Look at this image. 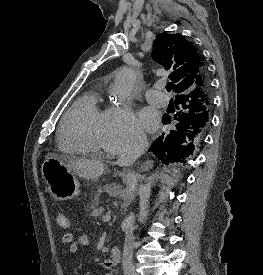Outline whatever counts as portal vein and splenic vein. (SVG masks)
<instances>
[{
  "label": "portal vein and splenic vein",
  "instance_id": "obj_1",
  "mask_svg": "<svg viewBox=\"0 0 263 275\" xmlns=\"http://www.w3.org/2000/svg\"><path fill=\"white\" fill-rule=\"evenodd\" d=\"M102 220H103L104 222H109V221L111 220L110 214H106L105 216H103Z\"/></svg>",
  "mask_w": 263,
  "mask_h": 275
}]
</instances>
